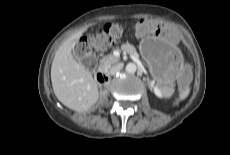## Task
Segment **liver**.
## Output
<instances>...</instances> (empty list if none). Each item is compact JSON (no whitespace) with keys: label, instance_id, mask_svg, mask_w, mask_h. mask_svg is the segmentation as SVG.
Here are the masks:
<instances>
[{"label":"liver","instance_id":"1","mask_svg":"<svg viewBox=\"0 0 230 155\" xmlns=\"http://www.w3.org/2000/svg\"><path fill=\"white\" fill-rule=\"evenodd\" d=\"M87 30H79L66 39L55 53L51 66V82L57 99L77 112L89 110L99 98L98 85L92 74L73 55L75 41Z\"/></svg>","mask_w":230,"mask_h":155}]
</instances>
